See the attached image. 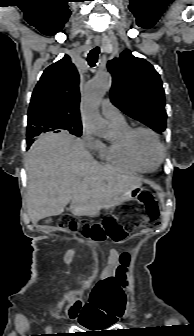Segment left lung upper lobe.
<instances>
[{"instance_id":"5c2ea615","label":"left lung upper lobe","mask_w":194,"mask_h":336,"mask_svg":"<svg viewBox=\"0 0 194 336\" xmlns=\"http://www.w3.org/2000/svg\"><path fill=\"white\" fill-rule=\"evenodd\" d=\"M112 74L111 100L128 116L158 133L166 128L165 94L160 75L145 59L129 50L108 62Z\"/></svg>"}]
</instances>
